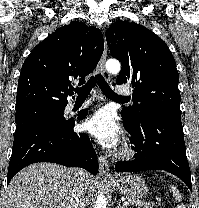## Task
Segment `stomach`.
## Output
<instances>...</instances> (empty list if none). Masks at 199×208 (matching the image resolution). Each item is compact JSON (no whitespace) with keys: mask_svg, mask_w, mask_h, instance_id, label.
Wrapping results in <instances>:
<instances>
[{"mask_svg":"<svg viewBox=\"0 0 199 208\" xmlns=\"http://www.w3.org/2000/svg\"><path fill=\"white\" fill-rule=\"evenodd\" d=\"M114 189L132 199H140L148 192L145 181L137 175L121 177L113 182Z\"/></svg>","mask_w":199,"mask_h":208,"instance_id":"1","label":"stomach"}]
</instances>
